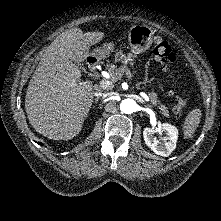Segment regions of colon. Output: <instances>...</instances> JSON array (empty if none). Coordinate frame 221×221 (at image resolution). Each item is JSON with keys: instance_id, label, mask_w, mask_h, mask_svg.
<instances>
[{"instance_id": "obj_1", "label": "colon", "mask_w": 221, "mask_h": 221, "mask_svg": "<svg viewBox=\"0 0 221 221\" xmlns=\"http://www.w3.org/2000/svg\"><path fill=\"white\" fill-rule=\"evenodd\" d=\"M153 58L160 65L168 67L177 64L178 59L170 44L163 38H156L153 46ZM186 99L181 92L174 96V112L181 116L185 110Z\"/></svg>"}]
</instances>
